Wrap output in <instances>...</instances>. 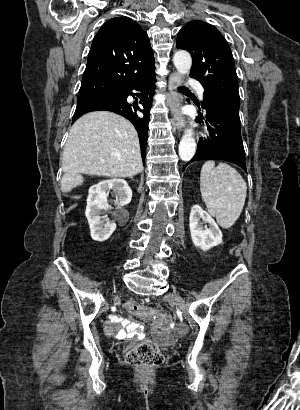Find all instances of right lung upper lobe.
Masks as SVG:
<instances>
[{"mask_svg": "<svg viewBox=\"0 0 300 410\" xmlns=\"http://www.w3.org/2000/svg\"><path fill=\"white\" fill-rule=\"evenodd\" d=\"M148 35L130 18L105 22L94 37L82 82H102L124 88L128 82L154 74Z\"/></svg>", "mask_w": 300, "mask_h": 410, "instance_id": "obj_1", "label": "right lung upper lobe"}]
</instances>
